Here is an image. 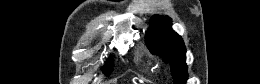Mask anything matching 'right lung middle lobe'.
<instances>
[{
  "label": "right lung middle lobe",
  "instance_id": "obj_1",
  "mask_svg": "<svg viewBox=\"0 0 260 84\" xmlns=\"http://www.w3.org/2000/svg\"><path fill=\"white\" fill-rule=\"evenodd\" d=\"M110 62H111V61H110ZM104 70H105V74H106V75H109V74H110V71H111V68H110V66H106Z\"/></svg>",
  "mask_w": 260,
  "mask_h": 84
}]
</instances>
